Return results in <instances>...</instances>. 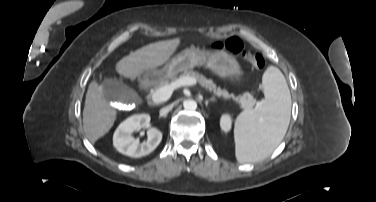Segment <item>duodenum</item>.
I'll use <instances>...</instances> for the list:
<instances>
[{"mask_svg": "<svg viewBox=\"0 0 376 202\" xmlns=\"http://www.w3.org/2000/svg\"><path fill=\"white\" fill-rule=\"evenodd\" d=\"M141 88H142L143 90L147 89V83H145V82L142 83V84H141Z\"/></svg>", "mask_w": 376, "mask_h": 202, "instance_id": "obj_1", "label": "duodenum"}]
</instances>
